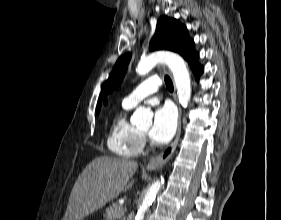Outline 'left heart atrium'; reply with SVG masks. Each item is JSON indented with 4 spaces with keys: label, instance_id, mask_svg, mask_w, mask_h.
Segmentation results:
<instances>
[{
    "label": "left heart atrium",
    "instance_id": "1",
    "mask_svg": "<svg viewBox=\"0 0 281 220\" xmlns=\"http://www.w3.org/2000/svg\"><path fill=\"white\" fill-rule=\"evenodd\" d=\"M177 128V116L174 109L165 105L159 107L154 114L153 125L149 136L159 144L169 142L174 136Z\"/></svg>",
    "mask_w": 281,
    "mask_h": 220
}]
</instances>
